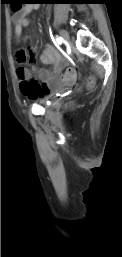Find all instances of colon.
I'll use <instances>...</instances> for the list:
<instances>
[{"label": "colon", "instance_id": "obj_1", "mask_svg": "<svg viewBox=\"0 0 122 257\" xmlns=\"http://www.w3.org/2000/svg\"><path fill=\"white\" fill-rule=\"evenodd\" d=\"M22 5H8V10H22ZM19 62L24 61V55L18 54L17 56ZM74 67H64L62 70L63 79L60 80L61 84L68 85L69 87H76L78 83L77 73L74 71Z\"/></svg>", "mask_w": 122, "mask_h": 257}]
</instances>
